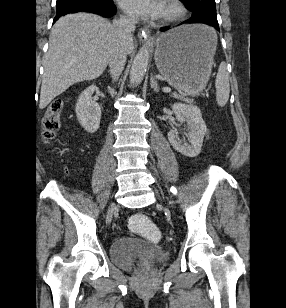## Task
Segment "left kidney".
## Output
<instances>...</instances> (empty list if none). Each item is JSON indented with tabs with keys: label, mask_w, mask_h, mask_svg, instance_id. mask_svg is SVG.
Returning <instances> with one entry per match:
<instances>
[{
	"label": "left kidney",
	"mask_w": 286,
	"mask_h": 308,
	"mask_svg": "<svg viewBox=\"0 0 286 308\" xmlns=\"http://www.w3.org/2000/svg\"><path fill=\"white\" fill-rule=\"evenodd\" d=\"M171 108L179 122L186 121L188 123L189 144L178 138L176 130L168 132L170 144L179 153L187 157H196L201 152L203 139L207 132L200 109L197 106L183 103H174Z\"/></svg>",
	"instance_id": "5707ae66"
}]
</instances>
